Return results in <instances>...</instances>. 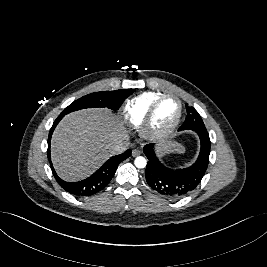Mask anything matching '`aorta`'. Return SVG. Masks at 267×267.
Returning <instances> with one entry per match:
<instances>
[{"mask_svg":"<svg viewBox=\"0 0 267 267\" xmlns=\"http://www.w3.org/2000/svg\"><path fill=\"white\" fill-rule=\"evenodd\" d=\"M134 164L137 168H144L146 167L147 161L144 157L138 156L135 158Z\"/></svg>","mask_w":267,"mask_h":267,"instance_id":"aorta-1","label":"aorta"}]
</instances>
